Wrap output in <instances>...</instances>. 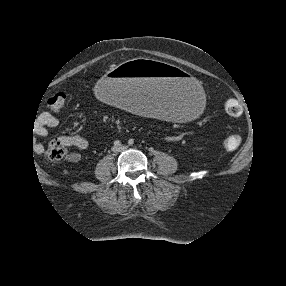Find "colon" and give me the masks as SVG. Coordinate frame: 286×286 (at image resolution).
Returning <instances> with one entry per match:
<instances>
[{"instance_id": "colon-1", "label": "colon", "mask_w": 286, "mask_h": 286, "mask_svg": "<svg viewBox=\"0 0 286 286\" xmlns=\"http://www.w3.org/2000/svg\"><path fill=\"white\" fill-rule=\"evenodd\" d=\"M49 109L54 112L61 111L66 105V96L64 93H57L50 97L47 101ZM225 112L234 118H239L243 114V108L236 99H227L224 102ZM242 143V138L239 134L231 133L227 135L223 141L225 149L229 151L237 150ZM46 155L52 161H62L67 157L65 145L60 141H52L46 148Z\"/></svg>"}]
</instances>
